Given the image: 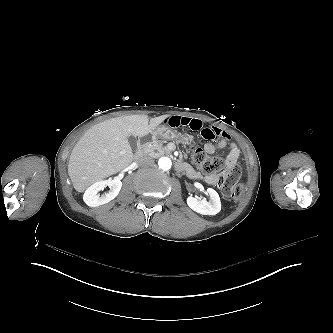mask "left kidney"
I'll return each mask as SVG.
<instances>
[{"label": "left kidney", "instance_id": "obj_1", "mask_svg": "<svg viewBox=\"0 0 333 333\" xmlns=\"http://www.w3.org/2000/svg\"><path fill=\"white\" fill-rule=\"evenodd\" d=\"M208 194L210 195V200L206 201L205 199L198 200L192 196L187 198L188 206L197 213L203 215H216L221 210V201L218 193L212 189H207Z\"/></svg>", "mask_w": 333, "mask_h": 333}]
</instances>
